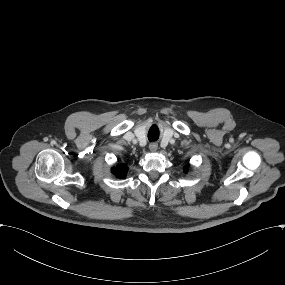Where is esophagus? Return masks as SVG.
I'll return each instance as SVG.
<instances>
[{
    "label": "esophagus",
    "mask_w": 285,
    "mask_h": 285,
    "mask_svg": "<svg viewBox=\"0 0 285 285\" xmlns=\"http://www.w3.org/2000/svg\"><path fill=\"white\" fill-rule=\"evenodd\" d=\"M157 148H158V144H157V143H151V144L149 145V150H150L151 152H156V151H157Z\"/></svg>",
    "instance_id": "obj_1"
}]
</instances>
